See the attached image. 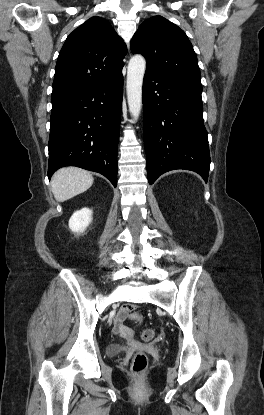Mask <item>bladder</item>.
<instances>
[{
    "label": "bladder",
    "instance_id": "1",
    "mask_svg": "<svg viewBox=\"0 0 264 415\" xmlns=\"http://www.w3.org/2000/svg\"><path fill=\"white\" fill-rule=\"evenodd\" d=\"M125 350V347L123 345L120 344H111L108 345L106 348V354L109 357H115L118 354H120L121 352H123Z\"/></svg>",
    "mask_w": 264,
    "mask_h": 415
}]
</instances>
